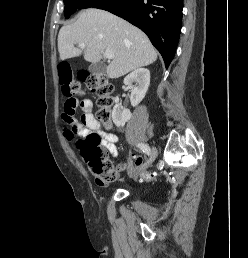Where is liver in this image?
<instances>
[{
	"label": "liver",
	"mask_w": 248,
	"mask_h": 258,
	"mask_svg": "<svg viewBox=\"0 0 248 258\" xmlns=\"http://www.w3.org/2000/svg\"><path fill=\"white\" fill-rule=\"evenodd\" d=\"M84 43V48L75 44ZM60 59L78 57L99 63L106 51L114 58L106 68L107 77L119 78L156 61L157 52L148 37L127 21L100 9L82 11L75 23L63 26L58 35Z\"/></svg>",
	"instance_id": "obj_1"
}]
</instances>
